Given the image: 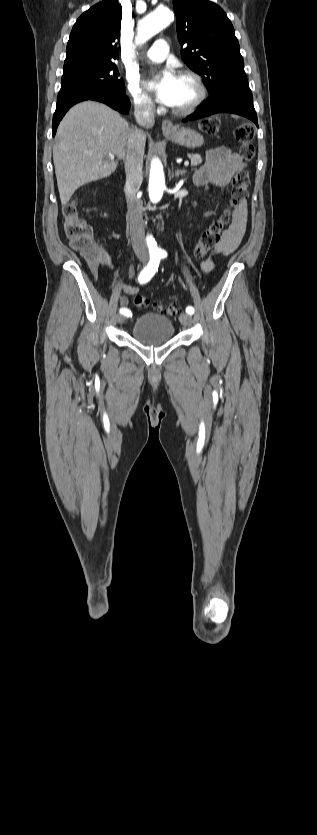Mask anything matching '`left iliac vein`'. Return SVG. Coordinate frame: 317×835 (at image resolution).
<instances>
[{"label": "left iliac vein", "instance_id": "4c4485c4", "mask_svg": "<svg viewBox=\"0 0 317 835\" xmlns=\"http://www.w3.org/2000/svg\"><path fill=\"white\" fill-rule=\"evenodd\" d=\"M179 320L181 324L185 327H189L192 324V317L187 313H182L179 317Z\"/></svg>", "mask_w": 317, "mask_h": 835}]
</instances>
